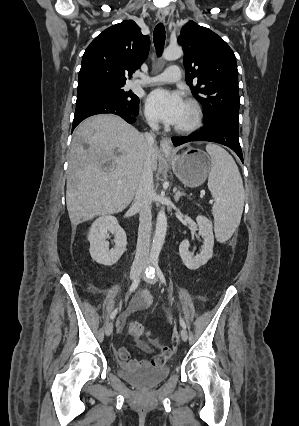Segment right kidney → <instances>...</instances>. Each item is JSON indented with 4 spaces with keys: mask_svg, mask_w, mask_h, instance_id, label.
<instances>
[{
    "mask_svg": "<svg viewBox=\"0 0 299 426\" xmlns=\"http://www.w3.org/2000/svg\"><path fill=\"white\" fill-rule=\"evenodd\" d=\"M109 233L114 234V248L109 249L106 238ZM90 255L92 259L105 266L115 264L126 250L127 237L114 216L106 215L97 218L88 233Z\"/></svg>",
    "mask_w": 299,
    "mask_h": 426,
    "instance_id": "obj_1",
    "label": "right kidney"
}]
</instances>
